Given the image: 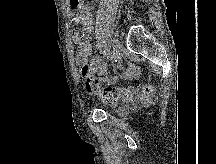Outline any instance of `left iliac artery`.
<instances>
[{
  "label": "left iliac artery",
  "mask_w": 216,
  "mask_h": 164,
  "mask_svg": "<svg viewBox=\"0 0 216 164\" xmlns=\"http://www.w3.org/2000/svg\"><path fill=\"white\" fill-rule=\"evenodd\" d=\"M105 55L107 56V58L111 57V59L109 60V63L112 65H116L117 64V60H118V55L117 53H115L114 51L112 52V54L110 55V53H105Z\"/></svg>",
  "instance_id": "1"
}]
</instances>
